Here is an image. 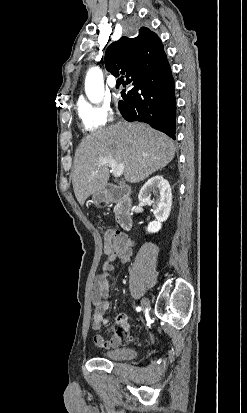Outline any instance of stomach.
<instances>
[{
    "instance_id": "stomach-1",
    "label": "stomach",
    "mask_w": 247,
    "mask_h": 413,
    "mask_svg": "<svg viewBox=\"0 0 247 413\" xmlns=\"http://www.w3.org/2000/svg\"><path fill=\"white\" fill-rule=\"evenodd\" d=\"M92 200L96 207H101V204H109V196L107 190L103 188L100 192H94Z\"/></svg>"
}]
</instances>
